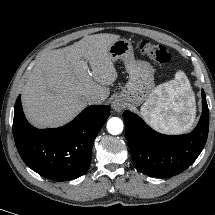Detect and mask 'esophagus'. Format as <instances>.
Returning a JSON list of instances; mask_svg holds the SVG:
<instances>
[{
  "instance_id": "34e87169",
  "label": "esophagus",
  "mask_w": 215,
  "mask_h": 215,
  "mask_svg": "<svg viewBox=\"0 0 215 215\" xmlns=\"http://www.w3.org/2000/svg\"><path fill=\"white\" fill-rule=\"evenodd\" d=\"M112 108L117 111V112H120L124 109L125 107V102L123 101L122 98L120 97H116L114 98V100L112 101V104H111Z\"/></svg>"
}]
</instances>
